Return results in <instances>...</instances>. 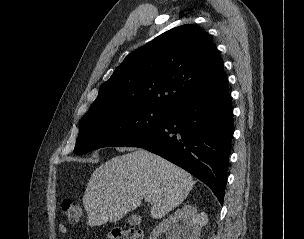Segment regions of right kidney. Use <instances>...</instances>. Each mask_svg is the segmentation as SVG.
Segmentation results:
<instances>
[{
  "mask_svg": "<svg viewBox=\"0 0 304 239\" xmlns=\"http://www.w3.org/2000/svg\"><path fill=\"white\" fill-rule=\"evenodd\" d=\"M201 219L194 206L185 204L160 222L150 239H157L163 232H166V239H199Z\"/></svg>",
  "mask_w": 304,
  "mask_h": 239,
  "instance_id": "1",
  "label": "right kidney"
}]
</instances>
